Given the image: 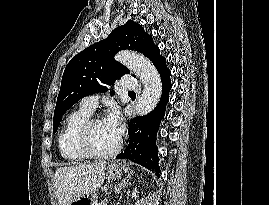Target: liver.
<instances>
[{
    "mask_svg": "<svg viewBox=\"0 0 269 205\" xmlns=\"http://www.w3.org/2000/svg\"><path fill=\"white\" fill-rule=\"evenodd\" d=\"M106 162L58 168L54 175L55 194L59 205H70L82 196L95 193L105 180Z\"/></svg>",
    "mask_w": 269,
    "mask_h": 205,
    "instance_id": "liver-1",
    "label": "liver"
}]
</instances>
